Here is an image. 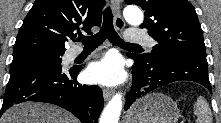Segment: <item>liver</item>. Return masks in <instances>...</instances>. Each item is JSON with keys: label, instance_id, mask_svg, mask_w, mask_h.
I'll list each match as a JSON object with an SVG mask.
<instances>
[{"label": "liver", "instance_id": "1", "mask_svg": "<svg viewBox=\"0 0 221 123\" xmlns=\"http://www.w3.org/2000/svg\"><path fill=\"white\" fill-rule=\"evenodd\" d=\"M0 123H78V120L57 106L25 102L4 112Z\"/></svg>", "mask_w": 221, "mask_h": 123}]
</instances>
